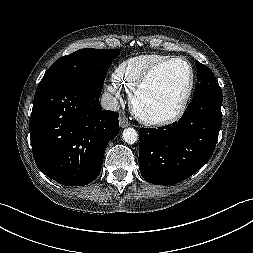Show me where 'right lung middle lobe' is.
Wrapping results in <instances>:
<instances>
[{
    "instance_id": "1",
    "label": "right lung middle lobe",
    "mask_w": 253,
    "mask_h": 253,
    "mask_svg": "<svg viewBox=\"0 0 253 253\" xmlns=\"http://www.w3.org/2000/svg\"><path fill=\"white\" fill-rule=\"evenodd\" d=\"M119 49H81L58 59L39 85L59 79L77 80L102 86L107 70Z\"/></svg>"
}]
</instances>
